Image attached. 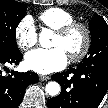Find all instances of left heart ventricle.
I'll return each instance as SVG.
<instances>
[{
  "instance_id": "left-heart-ventricle-1",
  "label": "left heart ventricle",
  "mask_w": 108,
  "mask_h": 108,
  "mask_svg": "<svg viewBox=\"0 0 108 108\" xmlns=\"http://www.w3.org/2000/svg\"><path fill=\"white\" fill-rule=\"evenodd\" d=\"M82 45L83 35L80 31H75L65 38H62L56 34L52 42V46L61 47L68 56L79 51Z\"/></svg>"
}]
</instances>
